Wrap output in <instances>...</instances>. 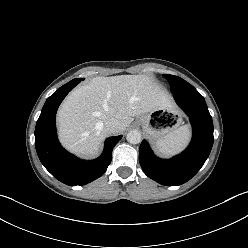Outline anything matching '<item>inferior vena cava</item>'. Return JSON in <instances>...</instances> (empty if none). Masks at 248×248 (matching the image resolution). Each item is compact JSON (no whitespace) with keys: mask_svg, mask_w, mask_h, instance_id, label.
<instances>
[{"mask_svg":"<svg viewBox=\"0 0 248 248\" xmlns=\"http://www.w3.org/2000/svg\"><path fill=\"white\" fill-rule=\"evenodd\" d=\"M119 122L115 118H110L104 123V130L107 134H115L118 132Z\"/></svg>","mask_w":248,"mask_h":248,"instance_id":"602c4592","label":"inferior vena cava"}]
</instances>
